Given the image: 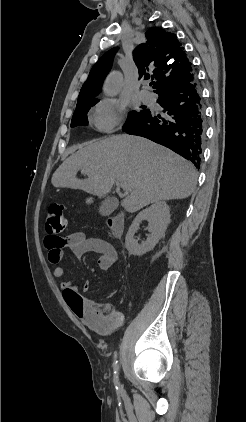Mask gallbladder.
<instances>
[{"label":"gallbladder","mask_w":246,"mask_h":422,"mask_svg":"<svg viewBox=\"0 0 246 422\" xmlns=\"http://www.w3.org/2000/svg\"><path fill=\"white\" fill-rule=\"evenodd\" d=\"M118 207V200L115 197L106 198L100 206V213L103 216H108L113 213Z\"/></svg>","instance_id":"1"}]
</instances>
